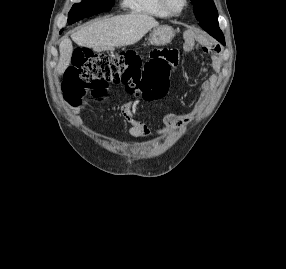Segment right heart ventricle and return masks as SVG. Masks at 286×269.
I'll list each match as a JSON object with an SVG mask.
<instances>
[{"mask_svg":"<svg viewBox=\"0 0 286 269\" xmlns=\"http://www.w3.org/2000/svg\"><path fill=\"white\" fill-rule=\"evenodd\" d=\"M121 7L136 15L168 18L170 15L162 8L160 0H121Z\"/></svg>","mask_w":286,"mask_h":269,"instance_id":"1","label":"right heart ventricle"}]
</instances>
